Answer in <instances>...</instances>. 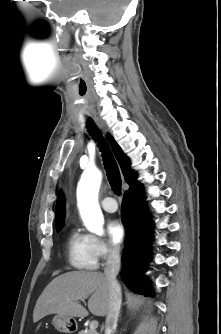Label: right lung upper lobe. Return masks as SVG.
Returning <instances> with one entry per match:
<instances>
[{"label":"right lung upper lobe","instance_id":"right-lung-upper-lobe-1","mask_svg":"<svg viewBox=\"0 0 221 334\" xmlns=\"http://www.w3.org/2000/svg\"><path fill=\"white\" fill-rule=\"evenodd\" d=\"M108 140L115 154V157L121 167L125 180L130 186L136 184L137 175L130 168L129 158L123 153L120 146L115 142V140L111 136H108ZM64 215H65L64 198H63V195L59 193L57 203H56V214H55L56 228H60V227L62 228L63 221H64Z\"/></svg>","mask_w":221,"mask_h":334}]
</instances>
